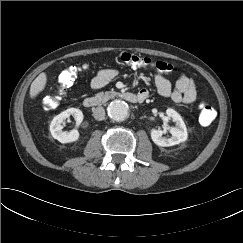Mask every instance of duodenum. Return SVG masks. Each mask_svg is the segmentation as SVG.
Here are the masks:
<instances>
[{"label":"duodenum","mask_w":243,"mask_h":243,"mask_svg":"<svg viewBox=\"0 0 243 243\" xmlns=\"http://www.w3.org/2000/svg\"><path fill=\"white\" fill-rule=\"evenodd\" d=\"M115 96H119L130 103H140L146 99V97L144 95H140L138 93L135 94V93H131V92H126V93L119 94V95H112L111 97H115ZM102 102H103L102 98L88 97V98L84 99L83 105L86 108H94V107L101 105Z\"/></svg>","instance_id":"410a0bca"}]
</instances>
